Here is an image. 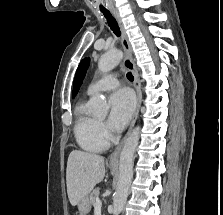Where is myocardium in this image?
<instances>
[{
	"instance_id": "1",
	"label": "myocardium",
	"mask_w": 223,
	"mask_h": 215,
	"mask_svg": "<svg viewBox=\"0 0 223 215\" xmlns=\"http://www.w3.org/2000/svg\"><path fill=\"white\" fill-rule=\"evenodd\" d=\"M117 139H118V137L115 135L110 139V141H111V143H115L117 141Z\"/></svg>"
}]
</instances>
